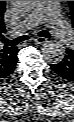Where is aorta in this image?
<instances>
[{
	"mask_svg": "<svg viewBox=\"0 0 74 122\" xmlns=\"http://www.w3.org/2000/svg\"><path fill=\"white\" fill-rule=\"evenodd\" d=\"M12 6L20 13H29L34 10L39 1H11ZM42 54L49 63H59L65 56V47L60 41H50L42 48Z\"/></svg>",
	"mask_w": 74,
	"mask_h": 122,
	"instance_id": "1",
	"label": "aorta"
}]
</instances>
